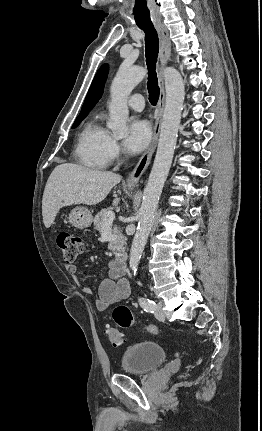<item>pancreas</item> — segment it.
<instances>
[{"mask_svg": "<svg viewBox=\"0 0 262 431\" xmlns=\"http://www.w3.org/2000/svg\"><path fill=\"white\" fill-rule=\"evenodd\" d=\"M107 212H109V209H103L99 213L96 214V216L94 218V228L96 230L101 231L102 225H103V219H104ZM112 234L116 237V239L110 241V243L108 244V248L110 250H118V249L123 248V246L125 244V239H124L123 235L121 234V232L117 226H115L112 229Z\"/></svg>", "mask_w": 262, "mask_h": 431, "instance_id": "1", "label": "pancreas"}]
</instances>
